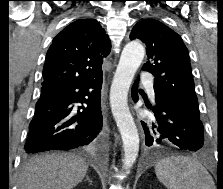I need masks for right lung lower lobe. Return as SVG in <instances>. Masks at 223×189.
<instances>
[{
	"instance_id": "98d812e1",
	"label": "right lung lower lobe",
	"mask_w": 223,
	"mask_h": 189,
	"mask_svg": "<svg viewBox=\"0 0 223 189\" xmlns=\"http://www.w3.org/2000/svg\"><path fill=\"white\" fill-rule=\"evenodd\" d=\"M103 74L87 81L42 86L36 103L26 153L69 150L95 145L101 136ZM77 103L84 104L78 106Z\"/></svg>"
}]
</instances>
